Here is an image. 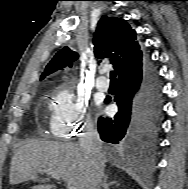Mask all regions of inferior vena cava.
<instances>
[{
    "label": "inferior vena cava",
    "mask_w": 188,
    "mask_h": 189,
    "mask_svg": "<svg viewBox=\"0 0 188 189\" xmlns=\"http://www.w3.org/2000/svg\"><path fill=\"white\" fill-rule=\"evenodd\" d=\"M79 146L90 161L87 189H100L104 177V160L100 136L92 122L85 124L79 138Z\"/></svg>",
    "instance_id": "1"
}]
</instances>
